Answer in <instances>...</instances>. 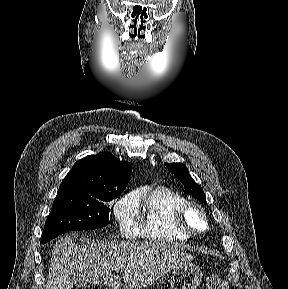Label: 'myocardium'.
<instances>
[{"mask_svg": "<svg viewBox=\"0 0 288 289\" xmlns=\"http://www.w3.org/2000/svg\"><path fill=\"white\" fill-rule=\"evenodd\" d=\"M190 210H195L201 215L204 223V226L202 228L194 229L190 226L187 221V214ZM176 221L178 225L191 236L200 235L209 229V221L205 209L201 205L193 201H186L185 203L177 207Z\"/></svg>", "mask_w": 288, "mask_h": 289, "instance_id": "1", "label": "myocardium"}]
</instances>
